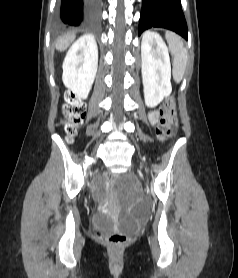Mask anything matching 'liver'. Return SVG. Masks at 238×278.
Instances as JSON below:
<instances>
[{"mask_svg":"<svg viewBox=\"0 0 238 278\" xmlns=\"http://www.w3.org/2000/svg\"><path fill=\"white\" fill-rule=\"evenodd\" d=\"M74 39V34L65 35L57 40L55 47L58 51H64L70 46Z\"/></svg>","mask_w":238,"mask_h":278,"instance_id":"1","label":"liver"}]
</instances>
